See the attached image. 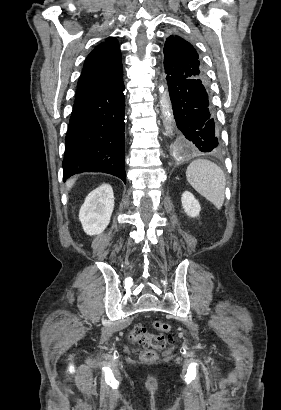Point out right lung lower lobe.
Wrapping results in <instances>:
<instances>
[{"mask_svg": "<svg viewBox=\"0 0 281 410\" xmlns=\"http://www.w3.org/2000/svg\"><path fill=\"white\" fill-rule=\"evenodd\" d=\"M123 81L75 101L66 134L63 179L82 172H105L126 183Z\"/></svg>", "mask_w": 281, "mask_h": 410, "instance_id": "1", "label": "right lung lower lobe"}]
</instances>
